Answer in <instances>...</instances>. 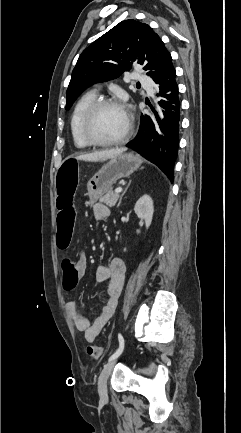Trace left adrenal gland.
I'll return each mask as SVG.
<instances>
[{"mask_svg": "<svg viewBox=\"0 0 241 433\" xmlns=\"http://www.w3.org/2000/svg\"><path fill=\"white\" fill-rule=\"evenodd\" d=\"M130 184H131V181H129L127 187L125 188L124 192L122 193V195H121V197H120V200H119V204H118V206L120 205L121 200H122V197H123V195L126 193V191H127L128 187L130 186Z\"/></svg>", "mask_w": 241, "mask_h": 433, "instance_id": "a2214340", "label": "left adrenal gland"}]
</instances>
